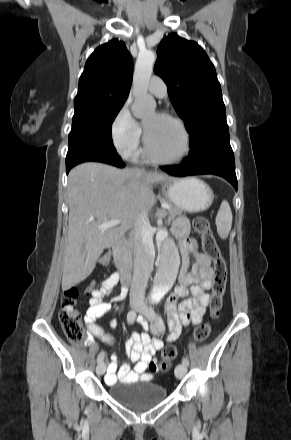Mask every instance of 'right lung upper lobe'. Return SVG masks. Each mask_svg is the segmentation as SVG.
<instances>
[{
  "mask_svg": "<svg viewBox=\"0 0 291 440\" xmlns=\"http://www.w3.org/2000/svg\"><path fill=\"white\" fill-rule=\"evenodd\" d=\"M132 76L131 55L122 41L113 39L96 48L86 61L74 103L126 101Z\"/></svg>",
  "mask_w": 291,
  "mask_h": 440,
  "instance_id": "right-lung-upper-lobe-1",
  "label": "right lung upper lobe"
}]
</instances>
